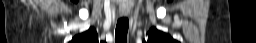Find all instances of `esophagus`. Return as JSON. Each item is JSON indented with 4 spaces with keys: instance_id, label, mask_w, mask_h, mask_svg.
<instances>
[{
    "instance_id": "34e87169",
    "label": "esophagus",
    "mask_w": 256,
    "mask_h": 43,
    "mask_svg": "<svg viewBox=\"0 0 256 43\" xmlns=\"http://www.w3.org/2000/svg\"><path fill=\"white\" fill-rule=\"evenodd\" d=\"M120 16H127L128 15V13H129V10H127V9H120Z\"/></svg>"
}]
</instances>
